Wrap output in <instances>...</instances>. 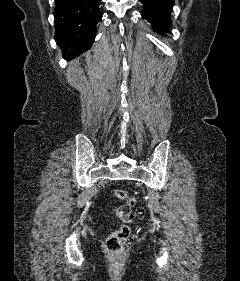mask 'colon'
<instances>
[{
  "label": "colon",
  "instance_id": "1",
  "mask_svg": "<svg viewBox=\"0 0 240 281\" xmlns=\"http://www.w3.org/2000/svg\"><path fill=\"white\" fill-rule=\"evenodd\" d=\"M115 196L124 202V204L117 209V217L122 221V224L118 229L113 231L105 241V251L109 255H116L122 251L125 241L130 236L129 224L144 215L143 209L133 211V207L137 202L133 194L117 189L115 190Z\"/></svg>",
  "mask_w": 240,
  "mask_h": 281
}]
</instances>
